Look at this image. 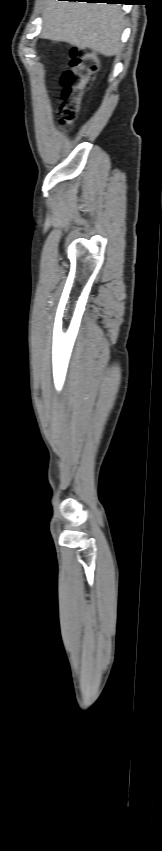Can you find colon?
I'll use <instances>...</instances> for the list:
<instances>
[{
	"mask_svg": "<svg viewBox=\"0 0 162 851\" xmlns=\"http://www.w3.org/2000/svg\"><path fill=\"white\" fill-rule=\"evenodd\" d=\"M98 67V58L94 52L80 48L70 51V67L62 75L64 103L59 110L62 125L69 126L76 119L83 91L94 78Z\"/></svg>",
	"mask_w": 162,
	"mask_h": 851,
	"instance_id": "colon-1",
	"label": "colon"
}]
</instances>
